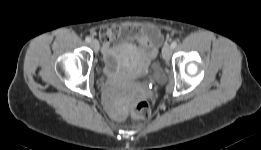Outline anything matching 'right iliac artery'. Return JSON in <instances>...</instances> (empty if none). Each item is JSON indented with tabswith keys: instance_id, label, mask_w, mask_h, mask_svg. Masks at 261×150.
<instances>
[{
	"instance_id": "obj_1",
	"label": "right iliac artery",
	"mask_w": 261,
	"mask_h": 150,
	"mask_svg": "<svg viewBox=\"0 0 261 150\" xmlns=\"http://www.w3.org/2000/svg\"><path fill=\"white\" fill-rule=\"evenodd\" d=\"M85 41H86L87 43H90V42H91V38H90V37H86V38H85Z\"/></svg>"
}]
</instances>
